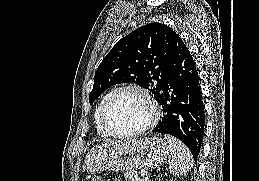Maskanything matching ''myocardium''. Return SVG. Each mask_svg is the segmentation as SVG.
I'll use <instances>...</instances> for the list:
<instances>
[{
	"label": "myocardium",
	"instance_id": "f54148a6",
	"mask_svg": "<svg viewBox=\"0 0 259 181\" xmlns=\"http://www.w3.org/2000/svg\"><path fill=\"white\" fill-rule=\"evenodd\" d=\"M125 91H135L139 93L148 103L151 110V116L148 122L142 128L132 132L120 133L113 130L109 125L108 111L113 100L119 94ZM159 119H160V109L156 100L153 98V96L151 95L148 89L138 84H127L114 89L107 97L101 110V123L103 127L110 134V136H114L121 139L134 138L145 134L158 123Z\"/></svg>",
	"mask_w": 259,
	"mask_h": 181
}]
</instances>
